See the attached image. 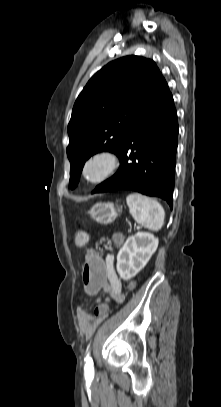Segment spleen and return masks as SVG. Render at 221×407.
<instances>
[{
  "label": "spleen",
  "mask_w": 221,
  "mask_h": 407,
  "mask_svg": "<svg viewBox=\"0 0 221 407\" xmlns=\"http://www.w3.org/2000/svg\"><path fill=\"white\" fill-rule=\"evenodd\" d=\"M130 214L134 220L152 231H158L164 224L165 212L161 204L139 193H131L126 198Z\"/></svg>",
  "instance_id": "spleen-1"
}]
</instances>
